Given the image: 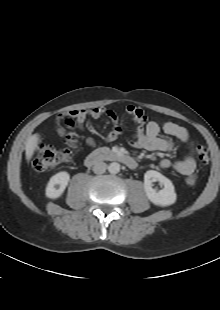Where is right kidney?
Masks as SVG:
<instances>
[{
    "label": "right kidney",
    "mask_w": 220,
    "mask_h": 310,
    "mask_svg": "<svg viewBox=\"0 0 220 310\" xmlns=\"http://www.w3.org/2000/svg\"><path fill=\"white\" fill-rule=\"evenodd\" d=\"M70 175L66 171H61L53 175L46 186V196L51 199L59 198L65 191Z\"/></svg>",
    "instance_id": "1"
}]
</instances>
